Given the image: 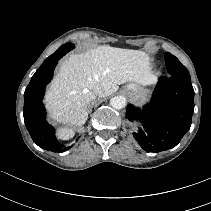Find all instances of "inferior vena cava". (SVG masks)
I'll use <instances>...</instances> for the list:
<instances>
[{"label": "inferior vena cava", "mask_w": 211, "mask_h": 211, "mask_svg": "<svg viewBox=\"0 0 211 211\" xmlns=\"http://www.w3.org/2000/svg\"><path fill=\"white\" fill-rule=\"evenodd\" d=\"M94 93H95L96 95H98V96H101L102 93H103L102 87L99 86V85L95 86V88H94Z\"/></svg>", "instance_id": "obj_1"}]
</instances>
